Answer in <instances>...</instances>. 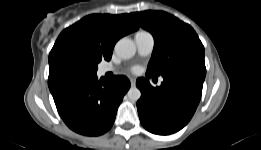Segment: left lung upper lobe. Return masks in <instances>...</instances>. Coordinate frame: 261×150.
<instances>
[{"mask_svg": "<svg viewBox=\"0 0 261 150\" xmlns=\"http://www.w3.org/2000/svg\"><path fill=\"white\" fill-rule=\"evenodd\" d=\"M130 15L154 37V50L147 74L163 76L186 66L206 70L204 46L190 25L163 11Z\"/></svg>", "mask_w": 261, "mask_h": 150, "instance_id": "5c2ea615", "label": "left lung upper lobe"}]
</instances>
